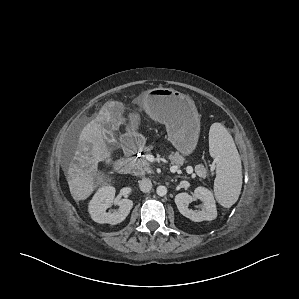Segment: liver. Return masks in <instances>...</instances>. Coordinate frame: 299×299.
Here are the masks:
<instances>
[{
  "label": "liver",
  "instance_id": "1",
  "mask_svg": "<svg viewBox=\"0 0 299 299\" xmlns=\"http://www.w3.org/2000/svg\"><path fill=\"white\" fill-rule=\"evenodd\" d=\"M119 108V102H107L80 133L77 149L67 170L70 193L75 201L87 199L98 185L110 181L105 177L95 181V177L99 162H111V151L102 135V123L110 122L119 127L124 121Z\"/></svg>",
  "mask_w": 299,
  "mask_h": 299
}]
</instances>
